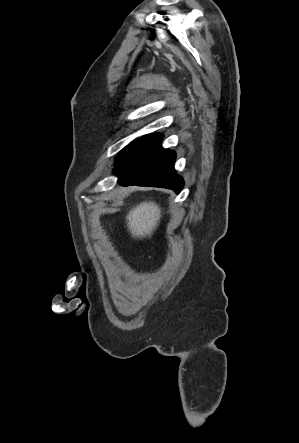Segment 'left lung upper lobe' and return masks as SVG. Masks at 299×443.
<instances>
[{
    "mask_svg": "<svg viewBox=\"0 0 299 443\" xmlns=\"http://www.w3.org/2000/svg\"><path fill=\"white\" fill-rule=\"evenodd\" d=\"M138 139L134 140L132 143H130L127 147H125L120 154L118 155V157L116 158V162L124 155V153L137 141Z\"/></svg>",
    "mask_w": 299,
    "mask_h": 443,
    "instance_id": "obj_1",
    "label": "left lung upper lobe"
}]
</instances>
